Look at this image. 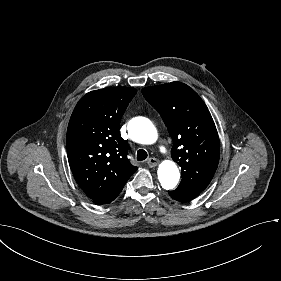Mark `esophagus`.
<instances>
[{
  "label": "esophagus",
  "instance_id": "34e87169",
  "mask_svg": "<svg viewBox=\"0 0 281 281\" xmlns=\"http://www.w3.org/2000/svg\"><path fill=\"white\" fill-rule=\"evenodd\" d=\"M147 164L150 168H153V167H156L158 164H159V161L155 158H150L148 161H147Z\"/></svg>",
  "mask_w": 281,
  "mask_h": 281
}]
</instances>
